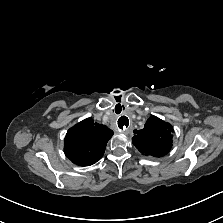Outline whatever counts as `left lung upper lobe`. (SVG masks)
Instances as JSON below:
<instances>
[{
    "label": "left lung upper lobe",
    "mask_w": 223,
    "mask_h": 223,
    "mask_svg": "<svg viewBox=\"0 0 223 223\" xmlns=\"http://www.w3.org/2000/svg\"><path fill=\"white\" fill-rule=\"evenodd\" d=\"M134 133L136 135L132 142L143 155L162 157L172 147L173 127L156 116H151L144 128L135 130Z\"/></svg>",
    "instance_id": "left-lung-upper-lobe-1"
}]
</instances>
